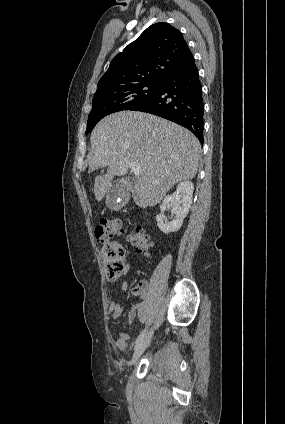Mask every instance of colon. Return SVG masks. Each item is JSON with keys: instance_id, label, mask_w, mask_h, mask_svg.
I'll return each mask as SVG.
<instances>
[{"instance_id": "1", "label": "colon", "mask_w": 285, "mask_h": 424, "mask_svg": "<svg viewBox=\"0 0 285 424\" xmlns=\"http://www.w3.org/2000/svg\"><path fill=\"white\" fill-rule=\"evenodd\" d=\"M125 232L123 223L118 219H104L95 226V238L102 247V258L107 278H118L125 269V250L114 238ZM129 242L140 252L147 253L151 243L147 234L140 228L128 234Z\"/></svg>"}]
</instances>
